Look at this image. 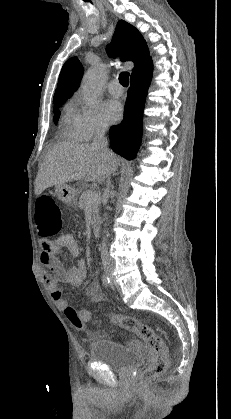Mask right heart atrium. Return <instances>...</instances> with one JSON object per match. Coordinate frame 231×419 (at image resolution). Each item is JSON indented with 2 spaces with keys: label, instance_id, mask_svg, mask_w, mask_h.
Masks as SVG:
<instances>
[{
  "label": "right heart atrium",
  "instance_id": "right-heart-atrium-1",
  "mask_svg": "<svg viewBox=\"0 0 231 419\" xmlns=\"http://www.w3.org/2000/svg\"><path fill=\"white\" fill-rule=\"evenodd\" d=\"M78 109H75V125L82 140H90L93 137L106 132L108 125L100 109L97 106H90L76 99Z\"/></svg>",
  "mask_w": 231,
  "mask_h": 419
}]
</instances>
